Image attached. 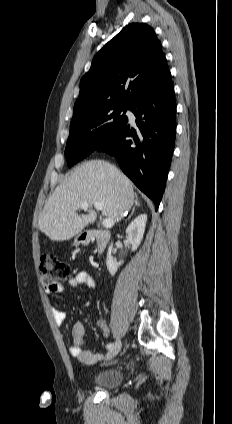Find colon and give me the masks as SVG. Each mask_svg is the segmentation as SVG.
Instances as JSON below:
<instances>
[{"label":"colon","instance_id":"obj_1","mask_svg":"<svg viewBox=\"0 0 232 424\" xmlns=\"http://www.w3.org/2000/svg\"><path fill=\"white\" fill-rule=\"evenodd\" d=\"M39 270L42 284L49 289L56 288L71 274L70 265L53 254H43L41 256Z\"/></svg>","mask_w":232,"mask_h":424}]
</instances>
